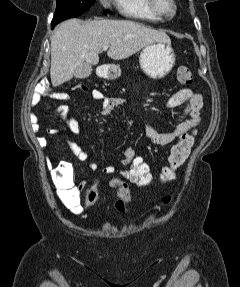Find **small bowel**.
I'll use <instances>...</instances> for the list:
<instances>
[{"mask_svg":"<svg viewBox=\"0 0 240 287\" xmlns=\"http://www.w3.org/2000/svg\"><path fill=\"white\" fill-rule=\"evenodd\" d=\"M84 91H88L84 86ZM91 96L101 103V115L109 116L112 111L124 104L125 100L118 97H107L101 91L93 89ZM49 96L55 100L66 101L69 99V95L66 93L51 92ZM41 100V94L36 92L31 98L32 106L37 105ZM166 107L176 110L174 117L173 129L166 132H159L152 124L148 123L145 128L146 136L150 141L160 147H164L172 143L181 134L195 131L201 121V110L203 108V96L201 94L193 93L190 89H181L174 93L166 102ZM51 112L60 114L63 118L66 126L74 133H80V126L77 119L68 113V107L65 104H59L52 109ZM188 116L187 119L185 117ZM30 120L33 124V130L38 131V116L35 113L30 114ZM49 134H60L67 142L69 149L72 153L81 161H87L89 159V153L84 150L78 143L69 140L68 135L65 132L60 131L57 128H47ZM41 146H46L47 140L44 137L38 139ZM136 155V152L130 148L125 147L123 149V157L120 159V164L124 167L117 169L115 166H107L103 169H99V165L95 162H90L88 167L91 171H99L103 174L116 173L120 177H126V168L131 159ZM61 199L65 206H67L74 214L80 215L83 212V207L80 204V192L76 189L71 194H62L60 192Z\"/></svg>","mask_w":240,"mask_h":287,"instance_id":"c3829d8e","label":"small bowel"}]
</instances>
